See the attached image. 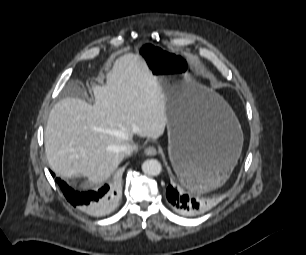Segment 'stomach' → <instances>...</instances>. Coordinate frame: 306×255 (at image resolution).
Returning a JSON list of instances; mask_svg holds the SVG:
<instances>
[{
	"label": "stomach",
	"instance_id": "obj_1",
	"mask_svg": "<svg viewBox=\"0 0 306 255\" xmlns=\"http://www.w3.org/2000/svg\"><path fill=\"white\" fill-rule=\"evenodd\" d=\"M132 50L146 61L164 94L168 154L181 182L201 192L224 184L243 145V132L232 109L192 77L184 54L157 47L151 35H138ZM184 164H194L201 170L197 183L183 180Z\"/></svg>",
	"mask_w": 306,
	"mask_h": 255
}]
</instances>
